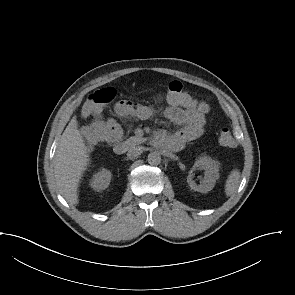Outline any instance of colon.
<instances>
[{"label": "colon", "mask_w": 295, "mask_h": 295, "mask_svg": "<svg viewBox=\"0 0 295 295\" xmlns=\"http://www.w3.org/2000/svg\"><path fill=\"white\" fill-rule=\"evenodd\" d=\"M115 96L116 92L113 88H104L93 92L83 104V115L91 116L102 112L114 100ZM168 98H173L183 105L197 106L201 111L207 110V104L192 97L179 81H172L168 85ZM84 134L89 145H96L105 139V129L101 125L92 124L88 126ZM218 141L223 147L234 148L236 146L233 134L226 128L220 131Z\"/></svg>", "instance_id": "obj_1"}]
</instances>
